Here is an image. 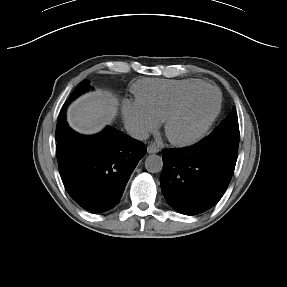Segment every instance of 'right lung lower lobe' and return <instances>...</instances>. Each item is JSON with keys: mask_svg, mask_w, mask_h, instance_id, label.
I'll use <instances>...</instances> for the list:
<instances>
[{"mask_svg": "<svg viewBox=\"0 0 287 287\" xmlns=\"http://www.w3.org/2000/svg\"><path fill=\"white\" fill-rule=\"evenodd\" d=\"M145 145L107 127L95 136L79 135L66 127L56 154L64 186L81 207L104 212L118 203Z\"/></svg>", "mask_w": 287, "mask_h": 287, "instance_id": "right-lung-lower-lobe-1", "label": "right lung lower lobe"}]
</instances>
